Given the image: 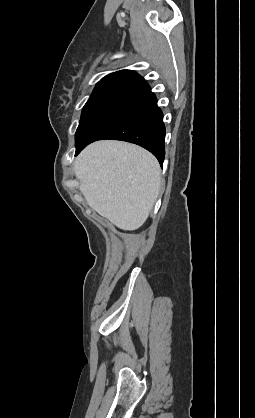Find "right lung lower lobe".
I'll use <instances>...</instances> for the list:
<instances>
[{
	"label": "right lung lower lobe",
	"instance_id": "1",
	"mask_svg": "<svg viewBox=\"0 0 255 418\" xmlns=\"http://www.w3.org/2000/svg\"><path fill=\"white\" fill-rule=\"evenodd\" d=\"M101 139L140 145L155 155L162 166L165 156L163 113L144 80L124 88L96 113L76 142L75 155Z\"/></svg>",
	"mask_w": 255,
	"mask_h": 418
}]
</instances>
